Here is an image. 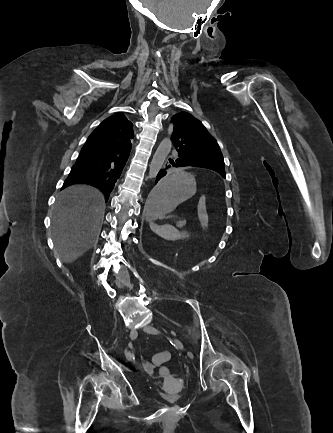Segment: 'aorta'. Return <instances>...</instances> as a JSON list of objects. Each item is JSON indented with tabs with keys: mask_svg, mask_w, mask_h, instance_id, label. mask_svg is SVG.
Wrapping results in <instances>:
<instances>
[{
	"mask_svg": "<svg viewBox=\"0 0 333 433\" xmlns=\"http://www.w3.org/2000/svg\"><path fill=\"white\" fill-rule=\"evenodd\" d=\"M171 146H172V144H171L170 139H164L160 143L159 147L157 148V150L153 156V159H152V162H151V165L149 168V178L152 179V178H155L157 176V174L160 171L162 165L164 164L168 154L171 151Z\"/></svg>",
	"mask_w": 333,
	"mask_h": 433,
	"instance_id": "aorta-1",
	"label": "aorta"
}]
</instances>
